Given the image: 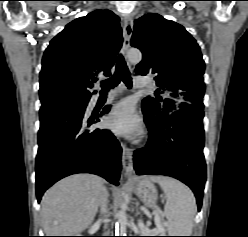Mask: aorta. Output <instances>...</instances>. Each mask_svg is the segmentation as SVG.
Segmentation results:
<instances>
[{"label":"aorta","instance_id":"aorta-1","mask_svg":"<svg viewBox=\"0 0 248 237\" xmlns=\"http://www.w3.org/2000/svg\"><path fill=\"white\" fill-rule=\"evenodd\" d=\"M127 58L129 62L132 64H137L141 61L142 59V54L139 50L137 49H132L128 52ZM126 208L127 205L125 203H122L120 206V210L118 212V221L116 223V231L119 234L124 233L127 225V214H126ZM119 236V235H118Z\"/></svg>","mask_w":248,"mask_h":237}]
</instances>
